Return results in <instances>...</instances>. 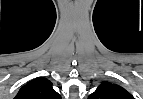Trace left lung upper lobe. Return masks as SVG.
I'll use <instances>...</instances> for the list:
<instances>
[{"mask_svg": "<svg viewBox=\"0 0 143 99\" xmlns=\"http://www.w3.org/2000/svg\"><path fill=\"white\" fill-rule=\"evenodd\" d=\"M88 99H134V97L120 85L102 82Z\"/></svg>", "mask_w": 143, "mask_h": 99, "instance_id": "1", "label": "left lung upper lobe"}]
</instances>
